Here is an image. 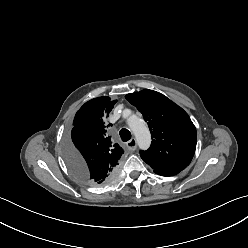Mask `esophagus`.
<instances>
[{
  "label": "esophagus",
  "mask_w": 248,
  "mask_h": 248,
  "mask_svg": "<svg viewBox=\"0 0 248 248\" xmlns=\"http://www.w3.org/2000/svg\"><path fill=\"white\" fill-rule=\"evenodd\" d=\"M126 146L128 148V150L130 151H135L137 148V141L135 138L130 139L127 143Z\"/></svg>",
  "instance_id": "34e87169"
}]
</instances>
